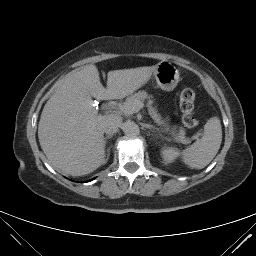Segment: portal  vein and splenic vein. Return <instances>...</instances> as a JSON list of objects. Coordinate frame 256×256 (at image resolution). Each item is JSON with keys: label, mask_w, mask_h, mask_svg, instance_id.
Here are the masks:
<instances>
[{"label": "portal vein and splenic vein", "mask_w": 256, "mask_h": 256, "mask_svg": "<svg viewBox=\"0 0 256 256\" xmlns=\"http://www.w3.org/2000/svg\"><path fill=\"white\" fill-rule=\"evenodd\" d=\"M117 105V103L115 102H111V106L114 108L115 106ZM119 106V109L121 111H126L127 113H137L140 111V109L143 107V104L141 102H136L134 103L132 106L130 107H126V106H123L121 104L118 105ZM199 137V135H195L193 136L194 139H197Z\"/></svg>", "instance_id": "18ae733b"}]
</instances>
